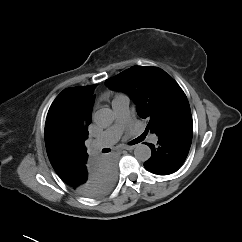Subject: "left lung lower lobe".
<instances>
[{
  "instance_id": "obj_1",
  "label": "left lung lower lobe",
  "mask_w": 242,
  "mask_h": 242,
  "mask_svg": "<svg viewBox=\"0 0 242 242\" xmlns=\"http://www.w3.org/2000/svg\"><path fill=\"white\" fill-rule=\"evenodd\" d=\"M192 117L173 124L159 132L157 146L148 144L152 150L144 167L155 174L167 175L177 171L185 161L192 142Z\"/></svg>"
}]
</instances>
